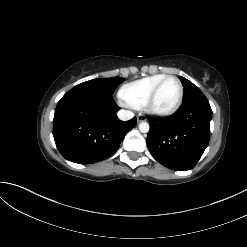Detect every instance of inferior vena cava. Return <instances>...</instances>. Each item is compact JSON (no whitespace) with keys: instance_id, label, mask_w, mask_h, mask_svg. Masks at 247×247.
I'll return each mask as SVG.
<instances>
[{"instance_id":"1","label":"inferior vena cava","mask_w":247,"mask_h":247,"mask_svg":"<svg viewBox=\"0 0 247 247\" xmlns=\"http://www.w3.org/2000/svg\"><path fill=\"white\" fill-rule=\"evenodd\" d=\"M118 117L120 120L122 121H127V120H130L134 117V113L132 111H129V110H120L118 112Z\"/></svg>"}]
</instances>
